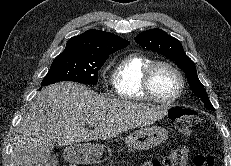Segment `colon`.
I'll return each instance as SVG.
<instances>
[{
	"label": "colon",
	"instance_id": "5ec220e1",
	"mask_svg": "<svg viewBox=\"0 0 231 166\" xmlns=\"http://www.w3.org/2000/svg\"><path fill=\"white\" fill-rule=\"evenodd\" d=\"M168 115L182 134H189L198 122L197 111L190 108H171ZM187 161V150L180 147L170 152L162 163L158 160H148L141 166H187ZM213 163L212 156L204 153H199L193 158L194 166H213Z\"/></svg>",
	"mask_w": 231,
	"mask_h": 166
}]
</instances>
